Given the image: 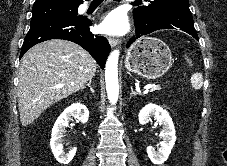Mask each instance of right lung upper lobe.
<instances>
[{"mask_svg": "<svg viewBox=\"0 0 227 166\" xmlns=\"http://www.w3.org/2000/svg\"><path fill=\"white\" fill-rule=\"evenodd\" d=\"M83 0H36L34 5L42 4H70V5H80Z\"/></svg>", "mask_w": 227, "mask_h": 166, "instance_id": "cb5924a9", "label": "right lung upper lobe"}]
</instances>
